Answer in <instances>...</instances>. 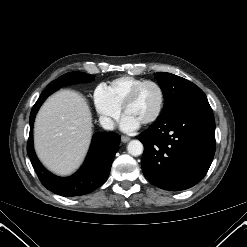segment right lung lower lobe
<instances>
[{
  "mask_svg": "<svg viewBox=\"0 0 247 247\" xmlns=\"http://www.w3.org/2000/svg\"><path fill=\"white\" fill-rule=\"evenodd\" d=\"M56 90L58 89L44 90L31 110L27 153L38 178L48 190L66 197L84 195L97 189L107 180L114 156L120 148V136L113 132L96 133L83 166L74 175L61 178L51 174L36 157L32 130L38 109L44 100Z\"/></svg>",
  "mask_w": 247,
  "mask_h": 247,
  "instance_id": "1",
  "label": "right lung lower lobe"
}]
</instances>
